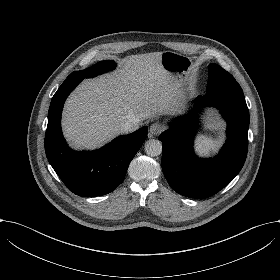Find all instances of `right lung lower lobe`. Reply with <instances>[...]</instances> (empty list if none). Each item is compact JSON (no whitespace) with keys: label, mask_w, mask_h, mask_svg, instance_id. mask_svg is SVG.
I'll use <instances>...</instances> for the list:
<instances>
[{"label":"right lung lower lobe","mask_w":280,"mask_h":280,"mask_svg":"<svg viewBox=\"0 0 280 280\" xmlns=\"http://www.w3.org/2000/svg\"><path fill=\"white\" fill-rule=\"evenodd\" d=\"M84 78L69 75L54 94L45 134L47 159L67 188L82 197L112 192L125 178L128 166L147 136V127L120 136L105 147L91 152L71 150L61 131L63 104Z\"/></svg>","instance_id":"obj_1"}]
</instances>
